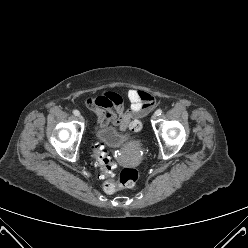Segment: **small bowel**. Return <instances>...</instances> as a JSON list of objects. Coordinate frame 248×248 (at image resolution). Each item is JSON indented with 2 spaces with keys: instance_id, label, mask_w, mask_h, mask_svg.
<instances>
[{
  "instance_id": "1",
  "label": "small bowel",
  "mask_w": 248,
  "mask_h": 248,
  "mask_svg": "<svg viewBox=\"0 0 248 248\" xmlns=\"http://www.w3.org/2000/svg\"><path fill=\"white\" fill-rule=\"evenodd\" d=\"M126 97L130 102L128 109H124L120 96L112 92L91 101L98 127L113 124L120 131H125L131 129L138 116L157 109V102L144 90L130 89L126 92Z\"/></svg>"
}]
</instances>
